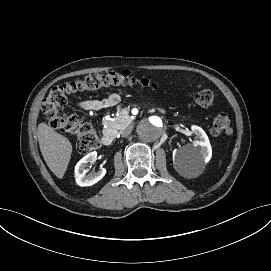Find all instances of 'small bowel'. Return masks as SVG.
Returning a JSON list of instances; mask_svg holds the SVG:
<instances>
[{"instance_id": "small-bowel-1", "label": "small bowel", "mask_w": 271, "mask_h": 271, "mask_svg": "<svg viewBox=\"0 0 271 271\" xmlns=\"http://www.w3.org/2000/svg\"><path fill=\"white\" fill-rule=\"evenodd\" d=\"M120 101V96L117 93H110L108 96L101 99H84L78 105L86 111H98L105 108L116 106Z\"/></svg>"}]
</instances>
